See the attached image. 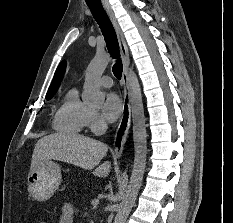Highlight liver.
Here are the masks:
<instances>
[{
	"mask_svg": "<svg viewBox=\"0 0 233 223\" xmlns=\"http://www.w3.org/2000/svg\"><path fill=\"white\" fill-rule=\"evenodd\" d=\"M108 147L106 143L79 135V133H50L37 141L32 155L31 167L39 159H58L73 163L82 169H93V175L108 177L111 171V161L101 159L106 155Z\"/></svg>",
	"mask_w": 233,
	"mask_h": 223,
	"instance_id": "obj_1",
	"label": "liver"
}]
</instances>
